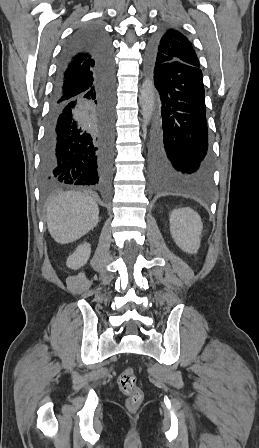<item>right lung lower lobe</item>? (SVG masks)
<instances>
[{
  "instance_id": "98d812e1",
  "label": "right lung lower lobe",
  "mask_w": 259,
  "mask_h": 448,
  "mask_svg": "<svg viewBox=\"0 0 259 448\" xmlns=\"http://www.w3.org/2000/svg\"><path fill=\"white\" fill-rule=\"evenodd\" d=\"M81 54L90 56L94 80L82 91L65 92L63 76ZM114 60L102 27L75 32L61 53L41 145L40 176L45 185L106 184L114 152Z\"/></svg>"
}]
</instances>
